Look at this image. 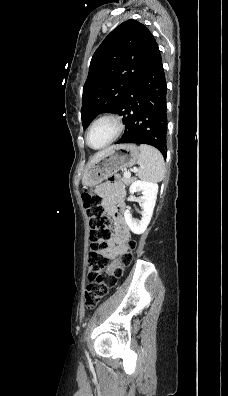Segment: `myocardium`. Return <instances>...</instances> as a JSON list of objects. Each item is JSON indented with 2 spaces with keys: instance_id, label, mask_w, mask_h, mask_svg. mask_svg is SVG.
I'll return each instance as SVG.
<instances>
[{
  "instance_id": "obj_1",
  "label": "myocardium",
  "mask_w": 228,
  "mask_h": 396,
  "mask_svg": "<svg viewBox=\"0 0 228 396\" xmlns=\"http://www.w3.org/2000/svg\"><path fill=\"white\" fill-rule=\"evenodd\" d=\"M103 120L111 121V122L114 124V126H115V133H114V135L112 136V138H111L107 143H105L103 146H101V147H99V148L92 147V146L90 145V142H89V137H90L91 130L93 129V127H94L98 122L103 121ZM124 128H125L124 121H123V119H122L118 114H116V113H104V114L98 116L96 119H94V121L90 124V126H89V128H88V130H87V133H86V143H87V145H88L90 148H92V149H94V150H101V149H104V148L110 146L112 143H114V142L121 136V134H122L123 131H124Z\"/></svg>"
}]
</instances>
